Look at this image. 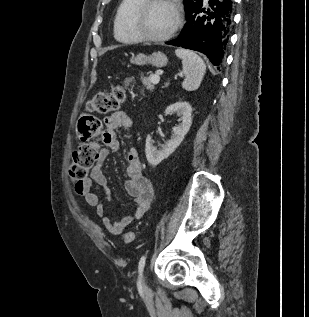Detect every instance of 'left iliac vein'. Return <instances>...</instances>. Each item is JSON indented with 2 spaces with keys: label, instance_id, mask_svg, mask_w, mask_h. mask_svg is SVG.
Returning <instances> with one entry per match:
<instances>
[{
  "label": "left iliac vein",
  "instance_id": "4c4485c4",
  "mask_svg": "<svg viewBox=\"0 0 309 317\" xmlns=\"http://www.w3.org/2000/svg\"><path fill=\"white\" fill-rule=\"evenodd\" d=\"M141 286H142V289L145 293H147L149 291V286L147 284V277H146L145 273L141 277Z\"/></svg>",
  "mask_w": 309,
  "mask_h": 317
}]
</instances>
